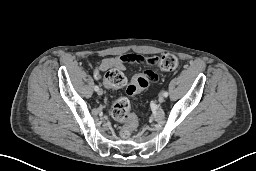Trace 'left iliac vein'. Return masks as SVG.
<instances>
[{
    "mask_svg": "<svg viewBox=\"0 0 256 171\" xmlns=\"http://www.w3.org/2000/svg\"><path fill=\"white\" fill-rule=\"evenodd\" d=\"M164 100H165V97L163 96V94H161L159 97V103H163Z\"/></svg>",
    "mask_w": 256,
    "mask_h": 171,
    "instance_id": "1",
    "label": "left iliac vein"
}]
</instances>
